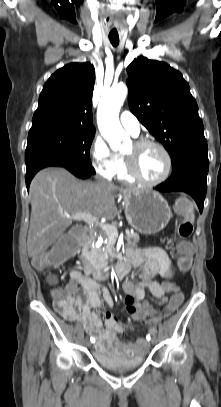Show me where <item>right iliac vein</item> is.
Here are the masks:
<instances>
[{
	"mask_svg": "<svg viewBox=\"0 0 221 407\" xmlns=\"http://www.w3.org/2000/svg\"><path fill=\"white\" fill-rule=\"evenodd\" d=\"M84 344L86 345V346H90V341H89V338H85V340H84Z\"/></svg>",
	"mask_w": 221,
	"mask_h": 407,
	"instance_id": "obj_1",
	"label": "right iliac vein"
}]
</instances>
